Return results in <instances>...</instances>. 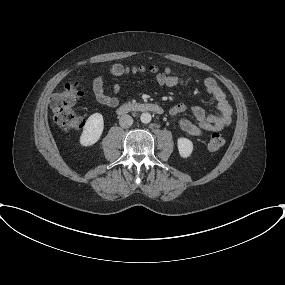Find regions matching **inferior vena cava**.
I'll list each match as a JSON object with an SVG mask.
<instances>
[{
  "mask_svg": "<svg viewBox=\"0 0 285 285\" xmlns=\"http://www.w3.org/2000/svg\"><path fill=\"white\" fill-rule=\"evenodd\" d=\"M119 124L122 128H129L133 124V118L130 115H122Z\"/></svg>",
  "mask_w": 285,
  "mask_h": 285,
  "instance_id": "obj_1",
  "label": "inferior vena cava"
}]
</instances>
